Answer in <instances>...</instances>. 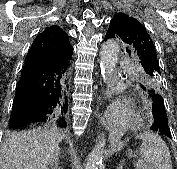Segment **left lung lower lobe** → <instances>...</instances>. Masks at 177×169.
Segmentation results:
<instances>
[{"mask_svg": "<svg viewBox=\"0 0 177 169\" xmlns=\"http://www.w3.org/2000/svg\"><path fill=\"white\" fill-rule=\"evenodd\" d=\"M146 90V88H143ZM152 101V110L154 115V123L151 126V130L164 134L168 138L172 139L171 131L168 126V119L163 105V99L160 92L152 88H147Z\"/></svg>", "mask_w": 177, "mask_h": 169, "instance_id": "left-lung-lower-lobe-1", "label": "left lung lower lobe"}]
</instances>
